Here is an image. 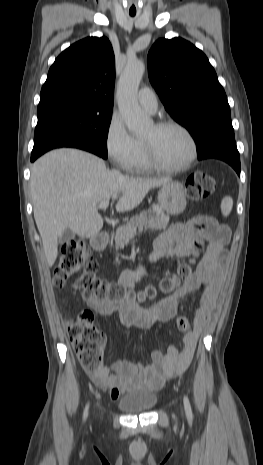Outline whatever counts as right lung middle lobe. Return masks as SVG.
Instances as JSON below:
<instances>
[{"mask_svg": "<svg viewBox=\"0 0 263 465\" xmlns=\"http://www.w3.org/2000/svg\"><path fill=\"white\" fill-rule=\"evenodd\" d=\"M112 108L113 105L74 98L40 102L34 148L54 138L73 136L89 142L106 159Z\"/></svg>", "mask_w": 263, "mask_h": 465, "instance_id": "dd1d6c3e", "label": "right lung middle lobe"}]
</instances>
